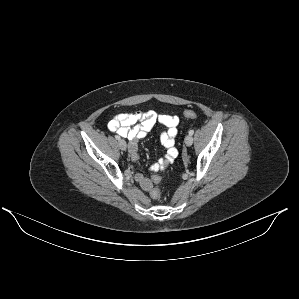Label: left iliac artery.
<instances>
[{
  "label": "left iliac artery",
  "mask_w": 299,
  "mask_h": 299,
  "mask_svg": "<svg viewBox=\"0 0 299 299\" xmlns=\"http://www.w3.org/2000/svg\"><path fill=\"white\" fill-rule=\"evenodd\" d=\"M189 134H190V135H193V134H194V130H190V131H189Z\"/></svg>",
  "instance_id": "1"
}]
</instances>
